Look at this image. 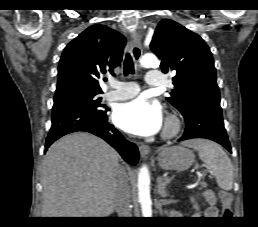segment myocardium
I'll return each instance as SVG.
<instances>
[{"instance_id":"f54148a6","label":"myocardium","mask_w":258,"mask_h":227,"mask_svg":"<svg viewBox=\"0 0 258 227\" xmlns=\"http://www.w3.org/2000/svg\"><path fill=\"white\" fill-rule=\"evenodd\" d=\"M181 130V121L175 115H170L165 122L162 136L165 139L175 137Z\"/></svg>"}]
</instances>
